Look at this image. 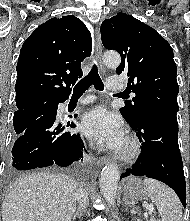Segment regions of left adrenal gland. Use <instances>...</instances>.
<instances>
[{"instance_id":"obj_1","label":"left adrenal gland","mask_w":190,"mask_h":221,"mask_svg":"<svg viewBox=\"0 0 190 221\" xmlns=\"http://www.w3.org/2000/svg\"><path fill=\"white\" fill-rule=\"evenodd\" d=\"M123 201H124V205H125V206L132 207L131 204H130V202H129V200L127 199L126 196H124Z\"/></svg>"}]
</instances>
